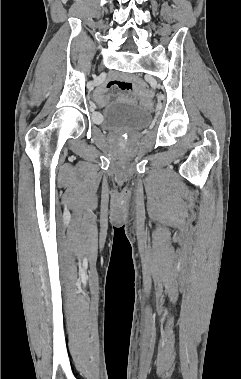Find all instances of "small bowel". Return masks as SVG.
Wrapping results in <instances>:
<instances>
[{
	"label": "small bowel",
	"instance_id": "small-bowel-1",
	"mask_svg": "<svg viewBox=\"0 0 241 379\" xmlns=\"http://www.w3.org/2000/svg\"><path fill=\"white\" fill-rule=\"evenodd\" d=\"M113 87H119L123 90H131L132 89V84L129 81L126 80H119L115 78L108 79L103 86L98 88L95 93H94V98L97 102L98 105L103 106L106 103L105 100V92ZM123 99L127 102H135V99L130 97V96H123Z\"/></svg>",
	"mask_w": 241,
	"mask_h": 379
}]
</instances>
